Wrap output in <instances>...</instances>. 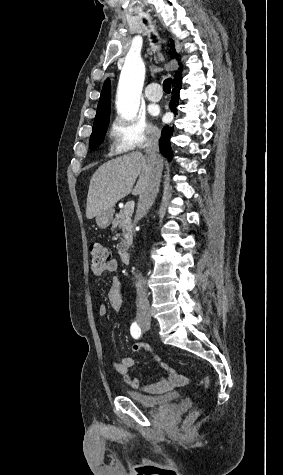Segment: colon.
Wrapping results in <instances>:
<instances>
[{"instance_id": "colon-1", "label": "colon", "mask_w": 283, "mask_h": 475, "mask_svg": "<svg viewBox=\"0 0 283 475\" xmlns=\"http://www.w3.org/2000/svg\"><path fill=\"white\" fill-rule=\"evenodd\" d=\"M90 256L92 258V267L99 269L109 264L113 267V263L110 262L112 259V251L107 247L103 246L99 242H94L90 245ZM204 383V382H203ZM207 383V381L205 382Z\"/></svg>"}]
</instances>
